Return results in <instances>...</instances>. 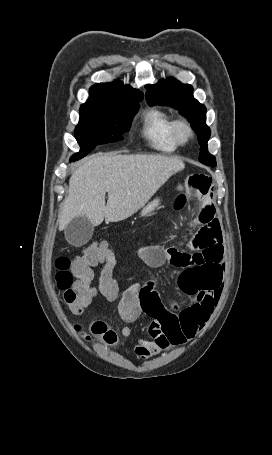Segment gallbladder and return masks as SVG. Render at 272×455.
<instances>
[{
  "instance_id": "1",
  "label": "gallbladder",
  "mask_w": 272,
  "mask_h": 455,
  "mask_svg": "<svg viewBox=\"0 0 272 455\" xmlns=\"http://www.w3.org/2000/svg\"><path fill=\"white\" fill-rule=\"evenodd\" d=\"M93 224L85 216H77L65 227L64 235L73 246L85 245L92 237Z\"/></svg>"
}]
</instances>
